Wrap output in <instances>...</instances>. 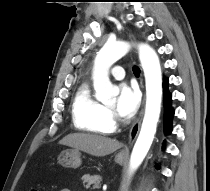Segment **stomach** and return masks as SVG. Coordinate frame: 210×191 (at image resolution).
<instances>
[{
	"label": "stomach",
	"instance_id": "1",
	"mask_svg": "<svg viewBox=\"0 0 210 191\" xmlns=\"http://www.w3.org/2000/svg\"><path fill=\"white\" fill-rule=\"evenodd\" d=\"M115 162L123 164L125 162V158L120 154H117ZM58 163L66 168H78L81 165L80 152L76 149L65 150L59 155Z\"/></svg>",
	"mask_w": 210,
	"mask_h": 191
}]
</instances>
